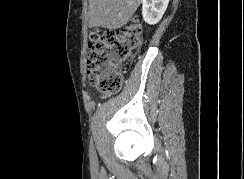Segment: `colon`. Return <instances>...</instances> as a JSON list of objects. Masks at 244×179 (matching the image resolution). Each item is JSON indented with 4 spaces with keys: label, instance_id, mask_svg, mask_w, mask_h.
<instances>
[{
    "label": "colon",
    "instance_id": "obj_1",
    "mask_svg": "<svg viewBox=\"0 0 244 179\" xmlns=\"http://www.w3.org/2000/svg\"><path fill=\"white\" fill-rule=\"evenodd\" d=\"M142 25L129 23L118 30H95L89 35L87 73L103 93H116L122 84L121 66L142 46Z\"/></svg>",
    "mask_w": 244,
    "mask_h": 179
}]
</instances>
